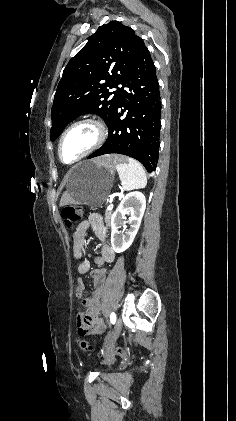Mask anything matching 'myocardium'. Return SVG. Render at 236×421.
Listing matches in <instances>:
<instances>
[{
  "label": "myocardium",
  "mask_w": 236,
  "mask_h": 421,
  "mask_svg": "<svg viewBox=\"0 0 236 421\" xmlns=\"http://www.w3.org/2000/svg\"><path fill=\"white\" fill-rule=\"evenodd\" d=\"M80 126H91V127H93L96 131V139L93 142V144L81 156H79L74 162L69 163V164L65 163L61 158V150H62L63 141H64L65 137L72 130H74L75 128L80 127ZM107 135H108L107 128L104 125V123L101 122L100 120L93 119V118H86V119L78 120V121L72 123L62 133V135L60 137V140H59V143H58V150H57L58 158L63 164H68V165L75 164V163L79 162L80 160L84 159L85 157L91 155L96 150H98L105 143V141L107 139Z\"/></svg>",
  "instance_id": "myocardium-1"
}]
</instances>
